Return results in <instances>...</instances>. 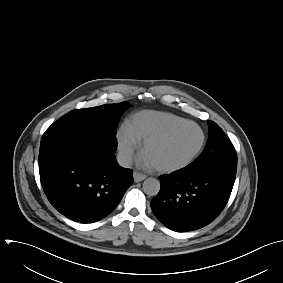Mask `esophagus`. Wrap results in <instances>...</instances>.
<instances>
[{"instance_id": "esophagus-1", "label": "esophagus", "mask_w": 283, "mask_h": 283, "mask_svg": "<svg viewBox=\"0 0 283 283\" xmlns=\"http://www.w3.org/2000/svg\"><path fill=\"white\" fill-rule=\"evenodd\" d=\"M146 175L145 174H142V173H140V172H134L133 173V178H134V181L135 182H141V181H143L144 179H146Z\"/></svg>"}]
</instances>
